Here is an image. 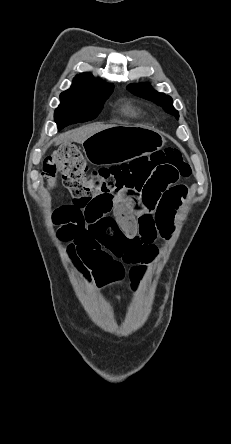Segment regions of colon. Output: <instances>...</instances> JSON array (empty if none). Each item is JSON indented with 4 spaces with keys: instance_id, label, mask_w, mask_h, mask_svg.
Listing matches in <instances>:
<instances>
[{
    "instance_id": "obj_1",
    "label": "colon",
    "mask_w": 231,
    "mask_h": 444,
    "mask_svg": "<svg viewBox=\"0 0 231 444\" xmlns=\"http://www.w3.org/2000/svg\"><path fill=\"white\" fill-rule=\"evenodd\" d=\"M61 174L63 184L74 200L110 198L125 194H143L154 184L167 187L191 174L189 164L175 148H167L130 163L104 167L89 172L78 148L65 144L48 156L43 163V175L50 187H55ZM56 224L66 220L58 208ZM72 257V256H71ZM76 264V258L72 257Z\"/></svg>"
}]
</instances>
